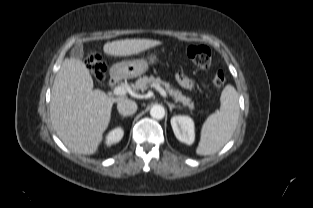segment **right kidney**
<instances>
[{
  "label": "right kidney",
  "instance_id": "1",
  "mask_svg": "<svg viewBox=\"0 0 313 208\" xmlns=\"http://www.w3.org/2000/svg\"><path fill=\"white\" fill-rule=\"evenodd\" d=\"M124 135V131L122 128L118 127L110 131L106 137V144L108 146L118 143Z\"/></svg>",
  "mask_w": 313,
  "mask_h": 208
}]
</instances>
